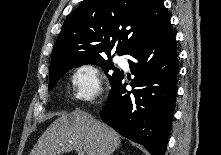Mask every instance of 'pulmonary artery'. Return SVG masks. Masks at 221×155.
Here are the masks:
<instances>
[{"instance_id": "pulmonary-artery-1", "label": "pulmonary artery", "mask_w": 221, "mask_h": 155, "mask_svg": "<svg viewBox=\"0 0 221 155\" xmlns=\"http://www.w3.org/2000/svg\"><path fill=\"white\" fill-rule=\"evenodd\" d=\"M116 61L120 66L126 65V60L122 57H117Z\"/></svg>"}]
</instances>
